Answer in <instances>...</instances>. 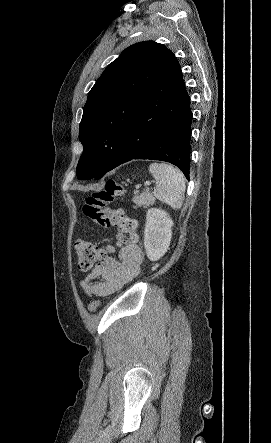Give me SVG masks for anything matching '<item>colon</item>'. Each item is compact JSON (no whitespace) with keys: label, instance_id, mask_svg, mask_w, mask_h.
<instances>
[{"label":"colon","instance_id":"1","mask_svg":"<svg viewBox=\"0 0 271 443\" xmlns=\"http://www.w3.org/2000/svg\"><path fill=\"white\" fill-rule=\"evenodd\" d=\"M122 193V186L114 179H109L103 189L87 197L83 205L84 215L95 225L100 227H114L117 229V241L120 245H130L137 240V222L129 217L122 209H111L109 205ZM77 266L82 271H88L94 263L103 257L102 250L97 244L84 239L76 240ZM100 301L89 303L90 312L99 309Z\"/></svg>","mask_w":271,"mask_h":443}]
</instances>
